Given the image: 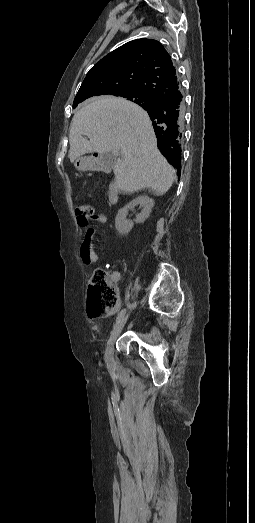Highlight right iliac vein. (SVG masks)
<instances>
[{"instance_id":"63e3f726","label":"right iliac vein","mask_w":255,"mask_h":523,"mask_svg":"<svg viewBox=\"0 0 255 523\" xmlns=\"http://www.w3.org/2000/svg\"><path fill=\"white\" fill-rule=\"evenodd\" d=\"M128 319V315L125 316L116 326L115 330L112 332L110 339L108 340L106 350H105V356L107 361H111L113 358V352H114V344L121 333L124 325L126 324V321Z\"/></svg>"}]
</instances>
